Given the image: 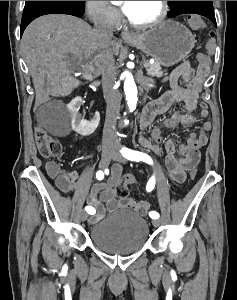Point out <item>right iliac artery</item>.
Listing matches in <instances>:
<instances>
[{"instance_id":"82829eb1","label":"right iliac artery","mask_w":237,"mask_h":300,"mask_svg":"<svg viewBox=\"0 0 237 300\" xmlns=\"http://www.w3.org/2000/svg\"><path fill=\"white\" fill-rule=\"evenodd\" d=\"M96 178L98 180H102L104 178V173L103 171L99 170L97 173H96ZM85 210L89 213V214H94L96 211L95 209L92 207V206H87L85 207Z\"/></svg>"}]
</instances>
